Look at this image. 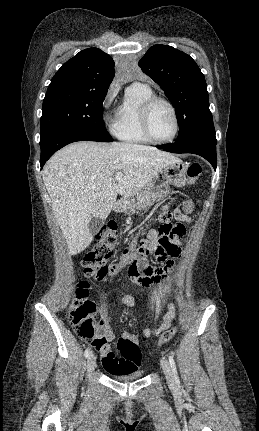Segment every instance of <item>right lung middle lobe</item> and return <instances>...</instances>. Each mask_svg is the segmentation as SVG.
<instances>
[{
    "instance_id": "obj_1",
    "label": "right lung middle lobe",
    "mask_w": 259,
    "mask_h": 431,
    "mask_svg": "<svg viewBox=\"0 0 259 431\" xmlns=\"http://www.w3.org/2000/svg\"><path fill=\"white\" fill-rule=\"evenodd\" d=\"M106 94L70 89L48 91L43 100L41 138L57 129L72 127L113 140L102 115Z\"/></svg>"
}]
</instances>
